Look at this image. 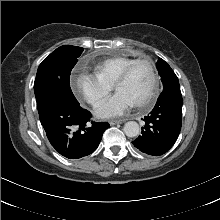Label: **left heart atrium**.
Wrapping results in <instances>:
<instances>
[{
  "label": "left heart atrium",
  "instance_id": "obj_1",
  "mask_svg": "<svg viewBox=\"0 0 220 220\" xmlns=\"http://www.w3.org/2000/svg\"><path fill=\"white\" fill-rule=\"evenodd\" d=\"M133 105L134 103L126 94L117 92L112 98L99 105L95 110V114L99 118H110L122 115Z\"/></svg>",
  "mask_w": 220,
  "mask_h": 220
}]
</instances>
